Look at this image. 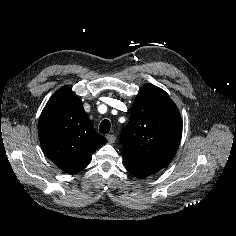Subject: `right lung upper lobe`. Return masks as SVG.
I'll list each match as a JSON object with an SVG mask.
<instances>
[{"instance_id":"obj_1","label":"right lung upper lobe","mask_w":236,"mask_h":236,"mask_svg":"<svg viewBox=\"0 0 236 236\" xmlns=\"http://www.w3.org/2000/svg\"><path fill=\"white\" fill-rule=\"evenodd\" d=\"M38 135L47 157L61 170L74 174L107 140L98 134L82 102L68 86L58 89L44 107Z\"/></svg>"}]
</instances>
